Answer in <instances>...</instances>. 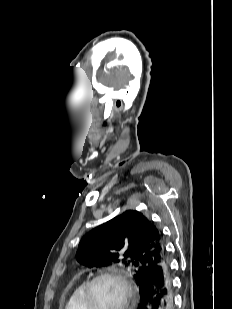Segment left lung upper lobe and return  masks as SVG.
I'll return each mask as SVG.
<instances>
[{"mask_svg":"<svg viewBox=\"0 0 232 309\" xmlns=\"http://www.w3.org/2000/svg\"><path fill=\"white\" fill-rule=\"evenodd\" d=\"M76 257L89 268L116 264L132 267L140 289L151 268L167 253L163 234L154 222L128 210L88 232L79 243Z\"/></svg>","mask_w":232,"mask_h":309,"instance_id":"left-lung-upper-lobe-1","label":"left lung upper lobe"}]
</instances>
